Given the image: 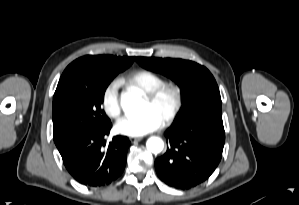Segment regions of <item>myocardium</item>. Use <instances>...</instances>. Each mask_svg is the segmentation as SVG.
I'll use <instances>...</instances> for the list:
<instances>
[{"instance_id": "f54148a6", "label": "myocardium", "mask_w": 299, "mask_h": 205, "mask_svg": "<svg viewBox=\"0 0 299 205\" xmlns=\"http://www.w3.org/2000/svg\"><path fill=\"white\" fill-rule=\"evenodd\" d=\"M165 96L171 99V106L167 114L162 119V124L168 125L172 123L183 105V90L176 83H162L152 91L145 93V99L154 104L159 102Z\"/></svg>"}]
</instances>
